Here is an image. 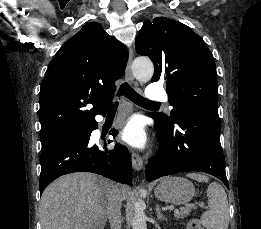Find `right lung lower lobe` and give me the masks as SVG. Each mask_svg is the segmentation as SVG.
<instances>
[{"mask_svg":"<svg viewBox=\"0 0 261 229\" xmlns=\"http://www.w3.org/2000/svg\"><path fill=\"white\" fill-rule=\"evenodd\" d=\"M97 128L98 124L94 122L85 131L64 138L41 151L40 193L56 178L73 172H92L131 185L132 165L127 148L116 144L114 149L108 150L106 143L104 149L92 145L89 142L90 135ZM110 133L115 137L117 130L112 129Z\"/></svg>","mask_w":261,"mask_h":229,"instance_id":"98d812e1","label":"right lung lower lobe"}]
</instances>
